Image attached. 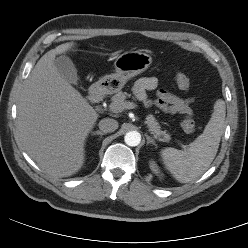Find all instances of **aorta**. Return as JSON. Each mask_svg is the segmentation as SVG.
<instances>
[{
	"label": "aorta",
	"instance_id": "obj_1",
	"mask_svg": "<svg viewBox=\"0 0 248 248\" xmlns=\"http://www.w3.org/2000/svg\"><path fill=\"white\" fill-rule=\"evenodd\" d=\"M124 141L128 146L135 147L140 144L141 135L137 131L127 132L124 137Z\"/></svg>",
	"mask_w": 248,
	"mask_h": 248
}]
</instances>
